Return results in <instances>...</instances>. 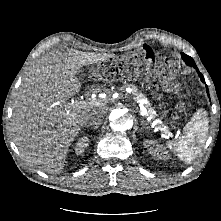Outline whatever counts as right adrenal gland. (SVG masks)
I'll list each match as a JSON object with an SVG mask.
<instances>
[{
    "instance_id": "1",
    "label": "right adrenal gland",
    "mask_w": 221,
    "mask_h": 221,
    "mask_svg": "<svg viewBox=\"0 0 221 221\" xmlns=\"http://www.w3.org/2000/svg\"><path fill=\"white\" fill-rule=\"evenodd\" d=\"M86 126H87V124H86ZM88 126H89V125H88ZM97 128H98V126H94V128H93V129L95 130V129H97Z\"/></svg>"
}]
</instances>
